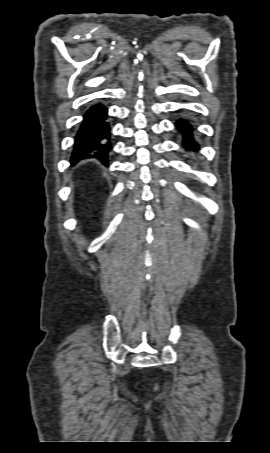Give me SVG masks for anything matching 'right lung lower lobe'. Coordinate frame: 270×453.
<instances>
[{"label":"right lung lower lobe","instance_id":"obj_1","mask_svg":"<svg viewBox=\"0 0 270 453\" xmlns=\"http://www.w3.org/2000/svg\"><path fill=\"white\" fill-rule=\"evenodd\" d=\"M107 114V108L102 104L93 105L85 113L75 136L72 164L87 158H96L103 164H107L108 154L112 149Z\"/></svg>","mask_w":270,"mask_h":453}]
</instances>
